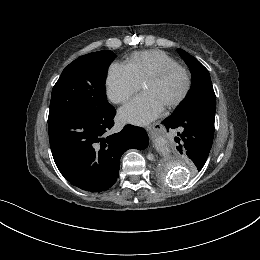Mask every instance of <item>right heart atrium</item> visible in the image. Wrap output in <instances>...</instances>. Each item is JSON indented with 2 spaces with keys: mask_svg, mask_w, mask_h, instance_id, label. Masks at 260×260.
Instances as JSON below:
<instances>
[{
  "mask_svg": "<svg viewBox=\"0 0 260 260\" xmlns=\"http://www.w3.org/2000/svg\"><path fill=\"white\" fill-rule=\"evenodd\" d=\"M140 84L123 64H112L107 72L106 92L115 104L124 103L139 89Z\"/></svg>",
  "mask_w": 260,
  "mask_h": 260,
  "instance_id": "obj_1",
  "label": "right heart atrium"
}]
</instances>
